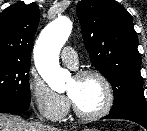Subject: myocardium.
I'll use <instances>...</instances> for the list:
<instances>
[{
  "mask_svg": "<svg viewBox=\"0 0 147 131\" xmlns=\"http://www.w3.org/2000/svg\"><path fill=\"white\" fill-rule=\"evenodd\" d=\"M90 77L97 78L104 87L105 102L101 109H99L98 111L94 113H84L78 109L75 102L69 95L74 114L79 119L85 120V121H93V120H97L99 118L106 116L111 111L114 104V100H115L113 86L110 80L108 79V77L102 72L98 70H94V69H89V70L81 71L75 76V78L77 79H84V78H90Z\"/></svg>",
  "mask_w": 147,
  "mask_h": 131,
  "instance_id": "obj_1",
  "label": "myocardium"
}]
</instances>
